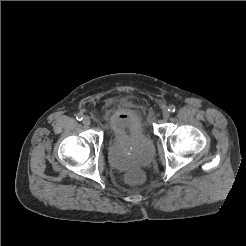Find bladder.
I'll return each instance as SVG.
<instances>
[{
    "mask_svg": "<svg viewBox=\"0 0 246 246\" xmlns=\"http://www.w3.org/2000/svg\"><path fill=\"white\" fill-rule=\"evenodd\" d=\"M108 126L113 140L125 138H148V129L142 114L128 107L113 109L108 116ZM154 158V148L149 144L145 149L130 154L111 151L109 161L115 168L128 169L132 166H146Z\"/></svg>",
    "mask_w": 246,
    "mask_h": 246,
    "instance_id": "bladder-1",
    "label": "bladder"
}]
</instances>
